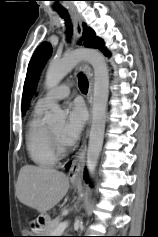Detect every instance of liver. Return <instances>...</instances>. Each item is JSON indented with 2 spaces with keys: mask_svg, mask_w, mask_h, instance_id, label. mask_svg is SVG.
Returning <instances> with one entry per match:
<instances>
[{
  "mask_svg": "<svg viewBox=\"0 0 158 237\" xmlns=\"http://www.w3.org/2000/svg\"><path fill=\"white\" fill-rule=\"evenodd\" d=\"M15 189L21 203L45 213L66 195L69 179L52 168L25 165L20 169Z\"/></svg>",
  "mask_w": 158,
  "mask_h": 237,
  "instance_id": "obj_1",
  "label": "liver"
}]
</instances>
